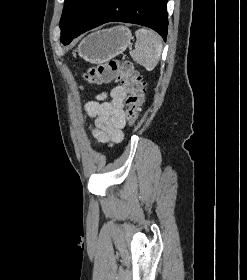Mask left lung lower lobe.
<instances>
[{
  "instance_id": "obj_1",
  "label": "left lung lower lobe",
  "mask_w": 247,
  "mask_h": 280,
  "mask_svg": "<svg viewBox=\"0 0 247 280\" xmlns=\"http://www.w3.org/2000/svg\"><path fill=\"white\" fill-rule=\"evenodd\" d=\"M167 0H101L78 30L61 39L64 45L74 37L107 22L119 21L149 27L164 40L168 33Z\"/></svg>"
}]
</instances>
